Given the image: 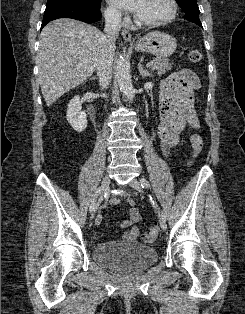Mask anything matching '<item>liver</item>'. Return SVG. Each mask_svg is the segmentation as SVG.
Here are the masks:
<instances>
[{
	"instance_id": "obj_1",
	"label": "liver",
	"mask_w": 245,
	"mask_h": 314,
	"mask_svg": "<svg viewBox=\"0 0 245 314\" xmlns=\"http://www.w3.org/2000/svg\"><path fill=\"white\" fill-rule=\"evenodd\" d=\"M104 34L74 19L47 24L39 37L38 81L47 106L85 82L96 70Z\"/></svg>"
}]
</instances>
